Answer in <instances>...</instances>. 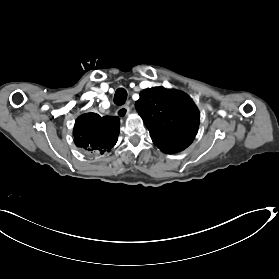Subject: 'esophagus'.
<instances>
[{
  "label": "esophagus",
  "mask_w": 279,
  "mask_h": 279,
  "mask_svg": "<svg viewBox=\"0 0 279 279\" xmlns=\"http://www.w3.org/2000/svg\"><path fill=\"white\" fill-rule=\"evenodd\" d=\"M129 113V105L125 104L116 110V115L120 118H125Z\"/></svg>",
  "instance_id": "obj_1"
}]
</instances>
